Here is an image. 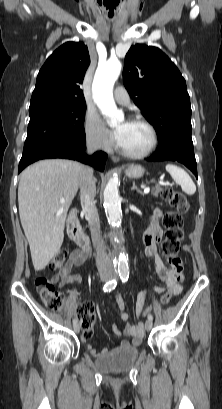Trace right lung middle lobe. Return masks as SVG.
I'll use <instances>...</instances> for the list:
<instances>
[{
	"mask_svg": "<svg viewBox=\"0 0 222 409\" xmlns=\"http://www.w3.org/2000/svg\"><path fill=\"white\" fill-rule=\"evenodd\" d=\"M86 103L46 104L29 109L23 155L38 150L71 151L85 141Z\"/></svg>",
	"mask_w": 222,
	"mask_h": 409,
	"instance_id": "dd1d6c3e",
	"label": "right lung middle lobe"
}]
</instances>
